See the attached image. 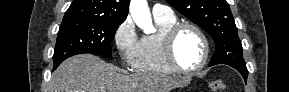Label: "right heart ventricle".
I'll list each match as a JSON object with an SVG mask.
<instances>
[{
	"label": "right heart ventricle",
	"mask_w": 289,
	"mask_h": 92,
	"mask_svg": "<svg viewBox=\"0 0 289 92\" xmlns=\"http://www.w3.org/2000/svg\"><path fill=\"white\" fill-rule=\"evenodd\" d=\"M154 21L157 25V31L143 36L139 41L134 68L141 73L169 75L174 71L165 61L162 51V38L171 26L178 23V20L174 14H171L154 15Z\"/></svg>",
	"instance_id": "e07e8e85"
}]
</instances>
